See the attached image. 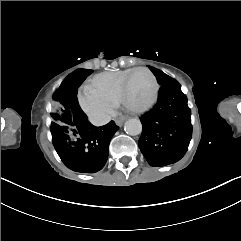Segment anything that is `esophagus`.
<instances>
[{"label":"esophagus","mask_w":241,"mask_h":241,"mask_svg":"<svg viewBox=\"0 0 241 241\" xmlns=\"http://www.w3.org/2000/svg\"><path fill=\"white\" fill-rule=\"evenodd\" d=\"M126 118H127V116H122V117L116 119L115 120L116 125L121 127L123 125L124 121L126 120Z\"/></svg>","instance_id":"34e87169"}]
</instances>
